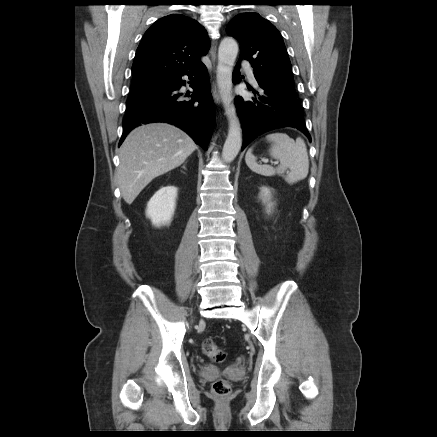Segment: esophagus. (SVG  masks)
Masks as SVG:
<instances>
[{
  "label": "esophagus",
  "instance_id": "esophagus-1",
  "mask_svg": "<svg viewBox=\"0 0 437 437\" xmlns=\"http://www.w3.org/2000/svg\"><path fill=\"white\" fill-rule=\"evenodd\" d=\"M210 54H211L212 61L215 62L216 61V46H215V43H213V45L211 47ZM212 95H213V98H214L215 102L219 103L220 96H219V93H218V90H217V87H216L215 84L212 85Z\"/></svg>",
  "mask_w": 437,
  "mask_h": 437
}]
</instances>
